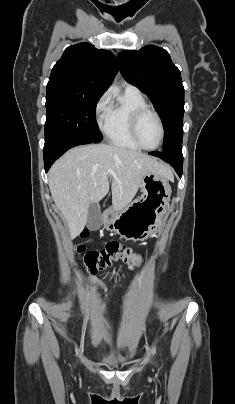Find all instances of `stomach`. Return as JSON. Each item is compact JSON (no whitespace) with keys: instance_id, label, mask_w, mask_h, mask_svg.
<instances>
[{"instance_id":"0dacf381","label":"stomach","mask_w":235,"mask_h":404,"mask_svg":"<svg viewBox=\"0 0 235 404\" xmlns=\"http://www.w3.org/2000/svg\"><path fill=\"white\" fill-rule=\"evenodd\" d=\"M141 196L122 210H114L105 227L128 240H143L158 230L169 206L168 178L146 174L140 183Z\"/></svg>"}]
</instances>
